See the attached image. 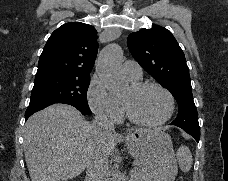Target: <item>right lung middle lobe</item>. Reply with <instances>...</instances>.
<instances>
[{"instance_id":"right-lung-middle-lobe-1","label":"right lung middle lobe","mask_w":228,"mask_h":181,"mask_svg":"<svg viewBox=\"0 0 228 181\" xmlns=\"http://www.w3.org/2000/svg\"><path fill=\"white\" fill-rule=\"evenodd\" d=\"M90 78L52 74L35 77L29 106L65 103L81 113L91 114L87 102Z\"/></svg>"}]
</instances>
